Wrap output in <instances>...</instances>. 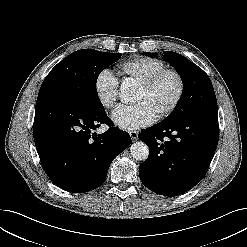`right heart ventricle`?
I'll return each mask as SVG.
<instances>
[{
    "label": "right heart ventricle",
    "instance_id": "obj_1",
    "mask_svg": "<svg viewBox=\"0 0 247 247\" xmlns=\"http://www.w3.org/2000/svg\"><path fill=\"white\" fill-rule=\"evenodd\" d=\"M166 68L163 61L150 57H135L118 65L117 73L123 78L134 79L137 82L145 79L153 73Z\"/></svg>",
    "mask_w": 247,
    "mask_h": 247
}]
</instances>
